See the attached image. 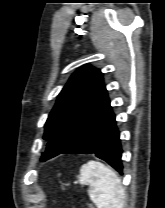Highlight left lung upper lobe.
Listing matches in <instances>:
<instances>
[{
    "label": "left lung upper lobe",
    "mask_w": 165,
    "mask_h": 208,
    "mask_svg": "<svg viewBox=\"0 0 165 208\" xmlns=\"http://www.w3.org/2000/svg\"><path fill=\"white\" fill-rule=\"evenodd\" d=\"M109 100L103 74L85 65L69 79L45 124L44 139H49L42 161L66 153L85 122Z\"/></svg>",
    "instance_id": "1"
}]
</instances>
